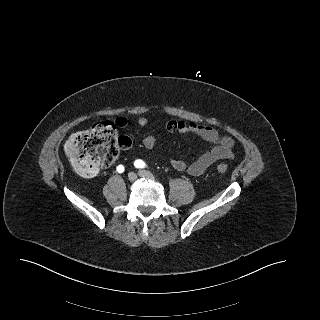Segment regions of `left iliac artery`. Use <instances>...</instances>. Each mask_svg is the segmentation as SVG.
I'll return each mask as SVG.
<instances>
[{
    "mask_svg": "<svg viewBox=\"0 0 320 320\" xmlns=\"http://www.w3.org/2000/svg\"><path fill=\"white\" fill-rule=\"evenodd\" d=\"M134 165L137 167V168H144L146 167V164L144 161L138 159L134 162Z\"/></svg>",
    "mask_w": 320,
    "mask_h": 320,
    "instance_id": "left-iliac-artery-1",
    "label": "left iliac artery"
}]
</instances>
